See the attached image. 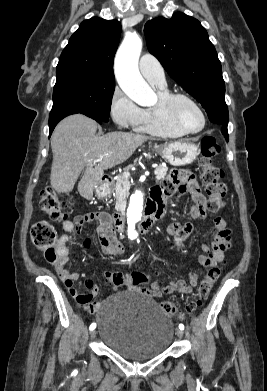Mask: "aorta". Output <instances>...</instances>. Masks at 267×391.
I'll list each match as a JSON object with an SVG mask.
<instances>
[{
  "mask_svg": "<svg viewBox=\"0 0 267 391\" xmlns=\"http://www.w3.org/2000/svg\"><path fill=\"white\" fill-rule=\"evenodd\" d=\"M142 51V39L137 34H126L115 57V72L122 91L139 105H146L152 98L150 86L141 76L138 61ZM144 195L137 190L130 198L127 211L128 234L137 235L136 226L141 220Z\"/></svg>",
  "mask_w": 267,
  "mask_h": 391,
  "instance_id": "762f6f07",
  "label": "aorta"
}]
</instances>
